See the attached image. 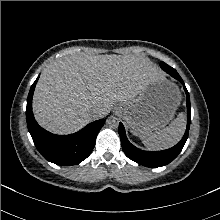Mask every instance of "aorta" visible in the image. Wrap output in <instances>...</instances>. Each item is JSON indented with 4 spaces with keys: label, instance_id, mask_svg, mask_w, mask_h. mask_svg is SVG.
<instances>
[{
    "label": "aorta",
    "instance_id": "aorta-1",
    "mask_svg": "<svg viewBox=\"0 0 220 220\" xmlns=\"http://www.w3.org/2000/svg\"><path fill=\"white\" fill-rule=\"evenodd\" d=\"M106 125L111 129H116L119 126V120L115 116H110L106 120Z\"/></svg>",
    "mask_w": 220,
    "mask_h": 220
}]
</instances>
